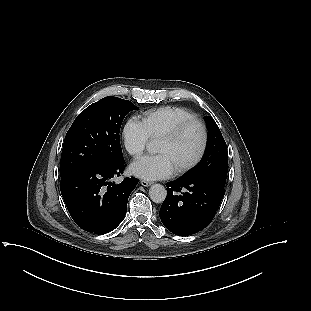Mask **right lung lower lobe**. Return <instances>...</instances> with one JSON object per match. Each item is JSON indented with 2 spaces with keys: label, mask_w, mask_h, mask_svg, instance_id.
Returning <instances> with one entry per match:
<instances>
[{
  "label": "right lung lower lobe",
  "mask_w": 311,
  "mask_h": 311,
  "mask_svg": "<svg viewBox=\"0 0 311 311\" xmlns=\"http://www.w3.org/2000/svg\"><path fill=\"white\" fill-rule=\"evenodd\" d=\"M124 160L115 164L80 166L61 176L60 189L75 223L85 231L105 234L124 219L128 197L138 179L110 182L124 171Z\"/></svg>",
  "instance_id": "obj_1"
}]
</instances>
